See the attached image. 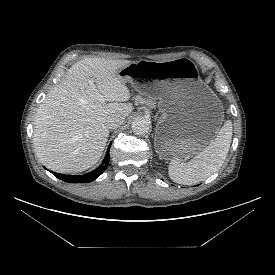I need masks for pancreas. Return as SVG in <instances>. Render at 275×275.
Returning <instances> with one entry per match:
<instances>
[{"label": "pancreas", "instance_id": "obj_1", "mask_svg": "<svg viewBox=\"0 0 275 275\" xmlns=\"http://www.w3.org/2000/svg\"><path fill=\"white\" fill-rule=\"evenodd\" d=\"M135 101L138 103L146 104L151 108L155 107L156 104L155 101L148 98H142L141 96H136Z\"/></svg>", "mask_w": 275, "mask_h": 275}]
</instances>
